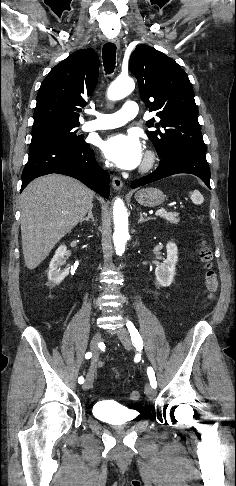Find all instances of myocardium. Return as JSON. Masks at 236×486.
Instances as JSON below:
<instances>
[{
    "label": "myocardium",
    "mask_w": 236,
    "mask_h": 486,
    "mask_svg": "<svg viewBox=\"0 0 236 486\" xmlns=\"http://www.w3.org/2000/svg\"><path fill=\"white\" fill-rule=\"evenodd\" d=\"M157 162V155L153 151H147L144 160L142 162V165L140 167V172L141 173H148L151 171L155 164Z\"/></svg>",
    "instance_id": "obj_1"
}]
</instances>
